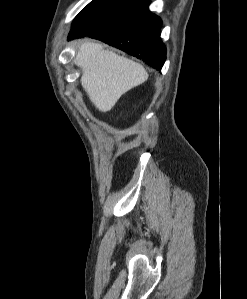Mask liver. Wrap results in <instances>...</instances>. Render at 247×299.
<instances>
[{
    "label": "liver",
    "instance_id": "6515ba94",
    "mask_svg": "<svg viewBox=\"0 0 247 299\" xmlns=\"http://www.w3.org/2000/svg\"><path fill=\"white\" fill-rule=\"evenodd\" d=\"M74 62L82 70V87L101 112L109 111L123 94L148 78L141 64L105 50L100 43H82Z\"/></svg>",
    "mask_w": 247,
    "mask_h": 299
}]
</instances>
